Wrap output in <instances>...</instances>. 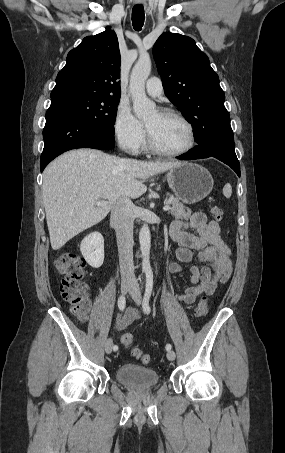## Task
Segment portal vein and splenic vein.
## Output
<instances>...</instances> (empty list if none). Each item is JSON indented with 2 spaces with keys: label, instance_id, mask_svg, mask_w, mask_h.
<instances>
[{
  "label": "portal vein and splenic vein",
  "instance_id": "portal-vein-and-splenic-vein-1",
  "mask_svg": "<svg viewBox=\"0 0 285 453\" xmlns=\"http://www.w3.org/2000/svg\"><path fill=\"white\" fill-rule=\"evenodd\" d=\"M170 209H171V207H170V205L168 203H166L165 206L163 207L164 211H168Z\"/></svg>",
  "mask_w": 285,
  "mask_h": 453
}]
</instances>
